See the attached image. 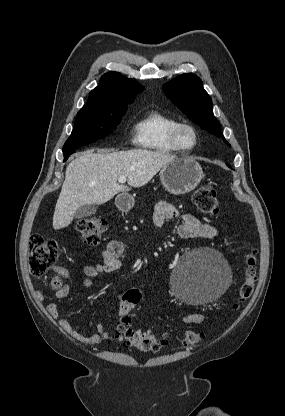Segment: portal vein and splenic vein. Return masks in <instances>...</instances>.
Returning <instances> with one entry per match:
<instances>
[{
    "label": "portal vein and splenic vein",
    "mask_w": 285,
    "mask_h": 416,
    "mask_svg": "<svg viewBox=\"0 0 285 416\" xmlns=\"http://www.w3.org/2000/svg\"><path fill=\"white\" fill-rule=\"evenodd\" d=\"M126 180H127V176H119L118 178L119 184H125Z\"/></svg>",
    "instance_id": "portal-vein-and-splenic-vein-1"
}]
</instances>
